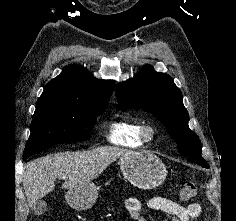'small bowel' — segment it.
<instances>
[{"label":"small bowel","instance_id":"small-bowel-1","mask_svg":"<svg viewBox=\"0 0 236 221\" xmlns=\"http://www.w3.org/2000/svg\"><path fill=\"white\" fill-rule=\"evenodd\" d=\"M125 205L128 215L134 221H147L142 215L144 209L167 213L172 217V221H198L201 214L199 203L184 206L173 199L159 196L148 199L129 197Z\"/></svg>","mask_w":236,"mask_h":221}]
</instances>
